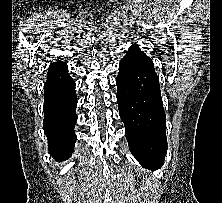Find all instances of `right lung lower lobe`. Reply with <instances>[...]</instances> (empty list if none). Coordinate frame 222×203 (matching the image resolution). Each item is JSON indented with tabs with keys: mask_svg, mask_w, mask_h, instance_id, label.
I'll list each match as a JSON object with an SVG mask.
<instances>
[{
	"mask_svg": "<svg viewBox=\"0 0 222 203\" xmlns=\"http://www.w3.org/2000/svg\"><path fill=\"white\" fill-rule=\"evenodd\" d=\"M44 93L43 127L48 149L56 161H63L74 150V125L77 121L75 82L68 74L66 63L57 61L49 66Z\"/></svg>",
	"mask_w": 222,
	"mask_h": 203,
	"instance_id": "98d812e1",
	"label": "right lung lower lobe"
}]
</instances>
